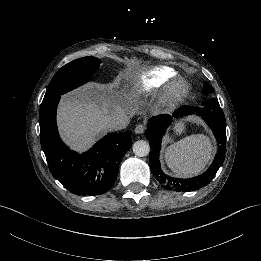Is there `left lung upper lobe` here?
<instances>
[{"label": "left lung upper lobe", "mask_w": 261, "mask_h": 261, "mask_svg": "<svg viewBox=\"0 0 261 261\" xmlns=\"http://www.w3.org/2000/svg\"><path fill=\"white\" fill-rule=\"evenodd\" d=\"M211 92H213V88L207 82H204L203 93H211Z\"/></svg>", "instance_id": "left-lung-upper-lobe-1"}]
</instances>
